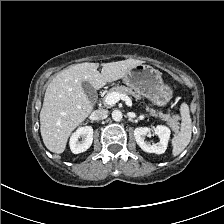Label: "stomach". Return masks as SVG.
Here are the masks:
<instances>
[{
  "instance_id": "stomach-1",
  "label": "stomach",
  "mask_w": 224,
  "mask_h": 224,
  "mask_svg": "<svg viewBox=\"0 0 224 224\" xmlns=\"http://www.w3.org/2000/svg\"><path fill=\"white\" fill-rule=\"evenodd\" d=\"M123 81L157 106H165L173 96V90L163 82L161 72L146 64L131 68Z\"/></svg>"
}]
</instances>
